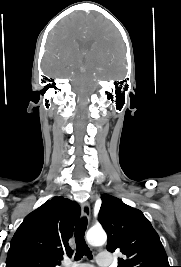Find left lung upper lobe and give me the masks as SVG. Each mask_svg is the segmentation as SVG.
<instances>
[{
	"label": "left lung upper lobe",
	"instance_id": "5c2ea615",
	"mask_svg": "<svg viewBox=\"0 0 181 267\" xmlns=\"http://www.w3.org/2000/svg\"><path fill=\"white\" fill-rule=\"evenodd\" d=\"M98 220L107 232V250L125 257L118 267H170L158 234L143 213L121 200L102 195Z\"/></svg>",
	"mask_w": 181,
	"mask_h": 267
}]
</instances>
